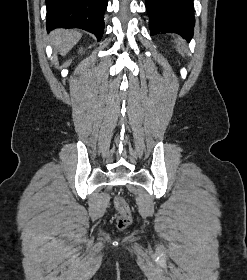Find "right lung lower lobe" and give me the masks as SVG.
I'll use <instances>...</instances> for the list:
<instances>
[{
	"label": "right lung lower lobe",
	"instance_id": "1",
	"mask_svg": "<svg viewBox=\"0 0 247 280\" xmlns=\"http://www.w3.org/2000/svg\"><path fill=\"white\" fill-rule=\"evenodd\" d=\"M47 31L55 28H81L101 40L107 0H46Z\"/></svg>",
	"mask_w": 247,
	"mask_h": 280
}]
</instances>
